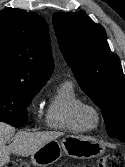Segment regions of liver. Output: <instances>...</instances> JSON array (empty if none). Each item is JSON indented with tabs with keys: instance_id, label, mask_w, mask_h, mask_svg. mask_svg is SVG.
<instances>
[{
	"instance_id": "1",
	"label": "liver",
	"mask_w": 125,
	"mask_h": 167,
	"mask_svg": "<svg viewBox=\"0 0 125 167\" xmlns=\"http://www.w3.org/2000/svg\"><path fill=\"white\" fill-rule=\"evenodd\" d=\"M62 135L63 133L56 131L34 133L19 131L15 134V129L12 126L0 122V167L10 162L11 153L27 157ZM11 137H13V141L7 146L5 143Z\"/></svg>"
}]
</instances>
